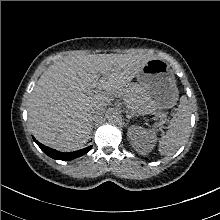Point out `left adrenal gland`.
Here are the masks:
<instances>
[{
  "label": "left adrenal gland",
  "instance_id": "1",
  "mask_svg": "<svg viewBox=\"0 0 220 220\" xmlns=\"http://www.w3.org/2000/svg\"><path fill=\"white\" fill-rule=\"evenodd\" d=\"M126 117H127V124H128L129 121H130V119H131L132 117H134V114H133V113H128V112H127Z\"/></svg>",
  "mask_w": 220,
  "mask_h": 220
}]
</instances>
